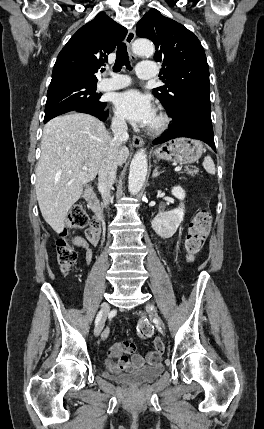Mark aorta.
<instances>
[{"instance_id": "762f6f07", "label": "aorta", "mask_w": 264, "mask_h": 429, "mask_svg": "<svg viewBox=\"0 0 264 429\" xmlns=\"http://www.w3.org/2000/svg\"><path fill=\"white\" fill-rule=\"evenodd\" d=\"M133 52L141 57H151L155 52L153 44L146 39H137L133 43ZM147 175V156L145 150H139L130 164V172L128 178V190L131 194H137L146 179Z\"/></svg>"}]
</instances>
